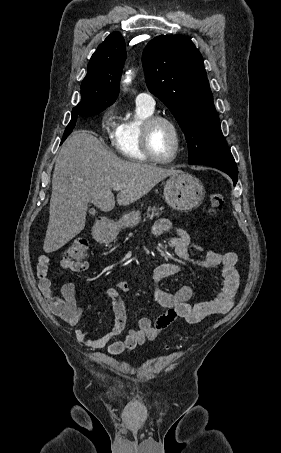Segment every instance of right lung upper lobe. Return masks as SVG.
<instances>
[{
  "label": "right lung upper lobe",
  "instance_id": "right-lung-upper-lobe-1",
  "mask_svg": "<svg viewBox=\"0 0 281 453\" xmlns=\"http://www.w3.org/2000/svg\"><path fill=\"white\" fill-rule=\"evenodd\" d=\"M126 45L119 32L111 33L99 45L88 64L81 84L82 99L73 109L105 110L118 97L119 81L124 66Z\"/></svg>",
  "mask_w": 281,
  "mask_h": 453
}]
</instances>
